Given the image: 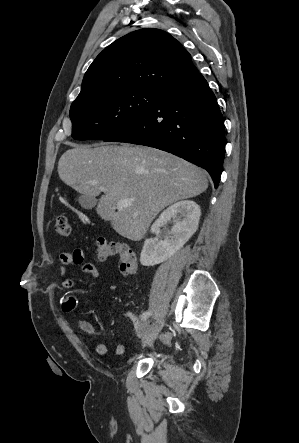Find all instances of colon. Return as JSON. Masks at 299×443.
<instances>
[{
    "mask_svg": "<svg viewBox=\"0 0 299 443\" xmlns=\"http://www.w3.org/2000/svg\"><path fill=\"white\" fill-rule=\"evenodd\" d=\"M55 232L61 237H69L72 233L67 217L63 214L56 216L54 223ZM95 256L99 261L117 258L120 272L125 276L136 273L137 259L134 251L125 243L98 239L95 245ZM168 340V337H164Z\"/></svg>",
    "mask_w": 299,
    "mask_h": 443,
    "instance_id": "colon-1",
    "label": "colon"
}]
</instances>
